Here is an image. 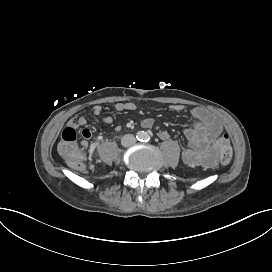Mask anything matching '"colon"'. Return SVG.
<instances>
[{
	"label": "colon",
	"instance_id": "1",
	"mask_svg": "<svg viewBox=\"0 0 272 272\" xmlns=\"http://www.w3.org/2000/svg\"><path fill=\"white\" fill-rule=\"evenodd\" d=\"M58 155L62 161L67 162V165L75 171L85 170V161L83 152L78 147V132L73 127H66L62 130L59 136ZM212 154L221 162L226 163L231 160L232 147L231 139L227 133H221L215 142Z\"/></svg>",
	"mask_w": 272,
	"mask_h": 272
}]
</instances>
